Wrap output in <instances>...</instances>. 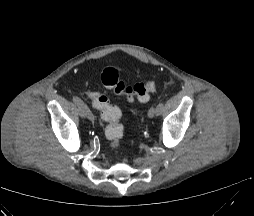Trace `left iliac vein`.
<instances>
[{
    "label": "left iliac vein",
    "instance_id": "obj_1",
    "mask_svg": "<svg viewBox=\"0 0 254 216\" xmlns=\"http://www.w3.org/2000/svg\"><path fill=\"white\" fill-rule=\"evenodd\" d=\"M156 115V108L155 107H151L148 111V117L149 118H153Z\"/></svg>",
    "mask_w": 254,
    "mask_h": 216
}]
</instances>
